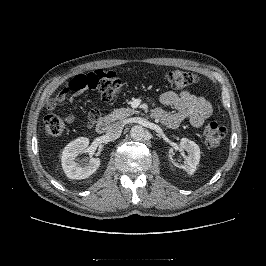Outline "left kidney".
<instances>
[{
    "label": "left kidney",
    "mask_w": 266,
    "mask_h": 266,
    "mask_svg": "<svg viewBox=\"0 0 266 266\" xmlns=\"http://www.w3.org/2000/svg\"><path fill=\"white\" fill-rule=\"evenodd\" d=\"M180 147L184 149L188 155L184 157L183 165H179L178 163H174V165L192 175L195 173L200 161V148L195 142L187 138H182L180 140Z\"/></svg>",
    "instance_id": "1"
}]
</instances>
